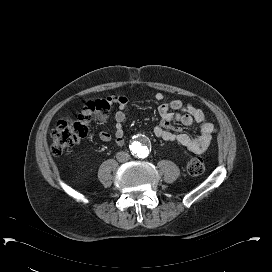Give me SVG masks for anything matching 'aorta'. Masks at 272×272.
I'll return each instance as SVG.
<instances>
[{
	"mask_svg": "<svg viewBox=\"0 0 272 272\" xmlns=\"http://www.w3.org/2000/svg\"><path fill=\"white\" fill-rule=\"evenodd\" d=\"M129 148L134 157L144 159L150 152V140L145 135H139L133 139Z\"/></svg>",
	"mask_w": 272,
	"mask_h": 272,
	"instance_id": "obj_1",
	"label": "aorta"
}]
</instances>
